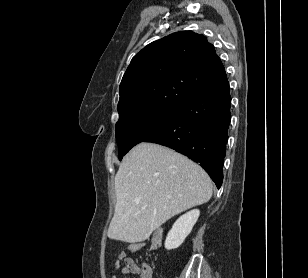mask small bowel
I'll return each instance as SVG.
<instances>
[{"instance_id":"obj_1","label":"small bowel","mask_w":308,"mask_h":278,"mask_svg":"<svg viewBox=\"0 0 308 278\" xmlns=\"http://www.w3.org/2000/svg\"><path fill=\"white\" fill-rule=\"evenodd\" d=\"M142 246V245H141ZM122 260H125L126 262L130 259L127 258V255L125 252H121L118 256V259L114 263V270H117L120 266V262ZM132 261V260H131ZM124 272L130 271L128 267L123 269ZM139 274L140 278H152V269L148 265H142L137 271H135ZM111 278H116L115 275H112Z\"/></svg>"}]
</instances>
